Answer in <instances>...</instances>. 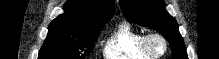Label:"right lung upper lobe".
<instances>
[{
  "mask_svg": "<svg viewBox=\"0 0 219 59\" xmlns=\"http://www.w3.org/2000/svg\"><path fill=\"white\" fill-rule=\"evenodd\" d=\"M63 9L65 13L53 22L98 27L113 17L115 5L114 0H68Z\"/></svg>",
  "mask_w": 219,
  "mask_h": 59,
  "instance_id": "cb5924a9",
  "label": "right lung upper lobe"
}]
</instances>
